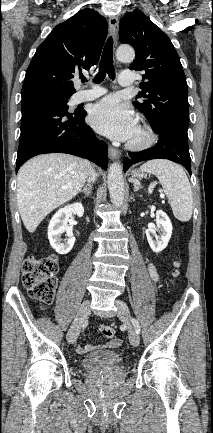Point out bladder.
Returning <instances> with one entry per match:
<instances>
[{
	"label": "bladder",
	"instance_id": "obj_1",
	"mask_svg": "<svg viewBox=\"0 0 213 433\" xmlns=\"http://www.w3.org/2000/svg\"><path fill=\"white\" fill-rule=\"evenodd\" d=\"M121 357L113 350L96 351L86 355L82 359V367L87 371H95L103 368L119 365Z\"/></svg>",
	"mask_w": 213,
	"mask_h": 433
}]
</instances>
